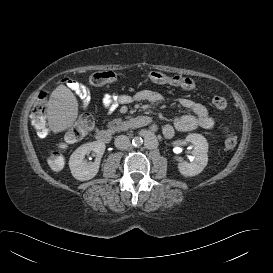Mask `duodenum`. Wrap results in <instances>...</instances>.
I'll return each mask as SVG.
<instances>
[{
    "mask_svg": "<svg viewBox=\"0 0 273 273\" xmlns=\"http://www.w3.org/2000/svg\"><path fill=\"white\" fill-rule=\"evenodd\" d=\"M150 118L144 115H137L120 123L115 129H100L96 133V139L104 144L110 143L116 133L125 132L130 129H137L147 126Z\"/></svg>",
    "mask_w": 273,
    "mask_h": 273,
    "instance_id": "obj_1",
    "label": "duodenum"
}]
</instances>
